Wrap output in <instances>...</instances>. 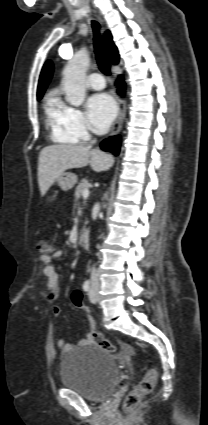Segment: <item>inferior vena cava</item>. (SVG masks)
Masks as SVG:
<instances>
[{
  "label": "inferior vena cava",
  "mask_w": 208,
  "mask_h": 425,
  "mask_svg": "<svg viewBox=\"0 0 208 425\" xmlns=\"http://www.w3.org/2000/svg\"><path fill=\"white\" fill-rule=\"evenodd\" d=\"M92 143H95V141H93ZM91 281L97 283L98 282V276H97V271L95 269V267L92 268L91 270Z\"/></svg>",
  "instance_id": "inferior-vena-cava-1"
}]
</instances>
